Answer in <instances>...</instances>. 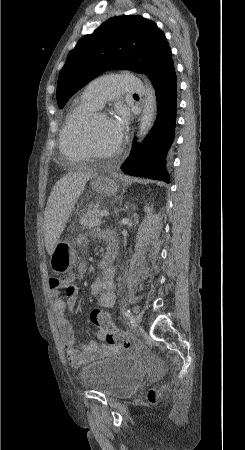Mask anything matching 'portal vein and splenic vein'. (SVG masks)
<instances>
[{
    "instance_id": "obj_1",
    "label": "portal vein and splenic vein",
    "mask_w": 245,
    "mask_h": 450,
    "mask_svg": "<svg viewBox=\"0 0 245 450\" xmlns=\"http://www.w3.org/2000/svg\"><path fill=\"white\" fill-rule=\"evenodd\" d=\"M109 215V212L108 211H101L100 213H99V216L100 217H107Z\"/></svg>"
}]
</instances>
